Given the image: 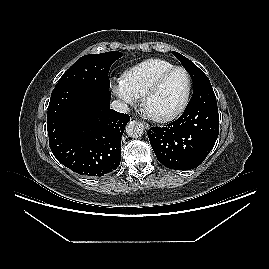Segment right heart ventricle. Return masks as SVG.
<instances>
[{
	"mask_svg": "<svg viewBox=\"0 0 269 269\" xmlns=\"http://www.w3.org/2000/svg\"><path fill=\"white\" fill-rule=\"evenodd\" d=\"M174 66L165 59L151 58L128 69L122 79L129 90L139 97L163 72Z\"/></svg>",
	"mask_w": 269,
	"mask_h": 269,
	"instance_id": "1",
	"label": "right heart ventricle"
}]
</instances>
